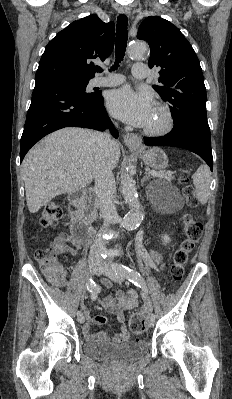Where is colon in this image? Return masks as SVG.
<instances>
[{
	"label": "colon",
	"mask_w": 232,
	"mask_h": 399,
	"mask_svg": "<svg viewBox=\"0 0 232 399\" xmlns=\"http://www.w3.org/2000/svg\"><path fill=\"white\" fill-rule=\"evenodd\" d=\"M175 182L181 188L182 198L189 204L188 213L180 221L178 230L184 235L181 242V247L178 251H174L172 263L176 266L170 269V274L165 278V283L169 287H179L183 283V278L186 275V270L183 267L186 262H193V257H190L197 243V239L201 235V228L203 221L196 215L202 209V200L200 195L194 189L190 177L184 173H179L175 177ZM60 216V211L56 207V203H45V208L38 216L39 227L43 231H50ZM53 252H48L45 249H40L36 253V258L41 262V266L48 273L47 283H56L55 289L61 290L62 285L67 281V275L60 270L59 266L54 264L52 258ZM133 335H148V328H143V324L148 323L146 313H131Z\"/></svg>",
	"instance_id": "5ec220e1"
}]
</instances>
